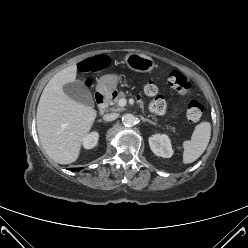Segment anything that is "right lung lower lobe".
Listing matches in <instances>:
<instances>
[{
	"label": "right lung lower lobe",
	"instance_id": "98d812e1",
	"mask_svg": "<svg viewBox=\"0 0 248 248\" xmlns=\"http://www.w3.org/2000/svg\"><path fill=\"white\" fill-rule=\"evenodd\" d=\"M81 168H72V171H79Z\"/></svg>",
	"mask_w": 248,
	"mask_h": 248
}]
</instances>
